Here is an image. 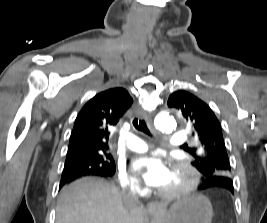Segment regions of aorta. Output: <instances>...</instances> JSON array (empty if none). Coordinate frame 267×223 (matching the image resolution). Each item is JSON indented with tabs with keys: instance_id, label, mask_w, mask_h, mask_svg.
Returning <instances> with one entry per match:
<instances>
[{
	"instance_id": "obj_1",
	"label": "aorta",
	"mask_w": 267,
	"mask_h": 223,
	"mask_svg": "<svg viewBox=\"0 0 267 223\" xmlns=\"http://www.w3.org/2000/svg\"><path fill=\"white\" fill-rule=\"evenodd\" d=\"M156 128L162 132L170 133L176 129L177 123L173 115L159 116L155 121Z\"/></svg>"
}]
</instances>
